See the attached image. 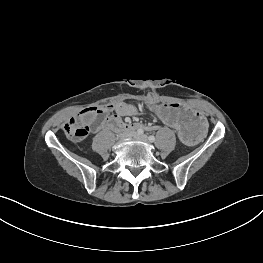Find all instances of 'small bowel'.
Masks as SVG:
<instances>
[{"mask_svg": "<svg viewBox=\"0 0 263 263\" xmlns=\"http://www.w3.org/2000/svg\"><path fill=\"white\" fill-rule=\"evenodd\" d=\"M112 110L116 112L117 116H132L139 113V109L136 106L123 102L113 105Z\"/></svg>", "mask_w": 263, "mask_h": 263, "instance_id": "obj_1", "label": "small bowel"}]
</instances>
